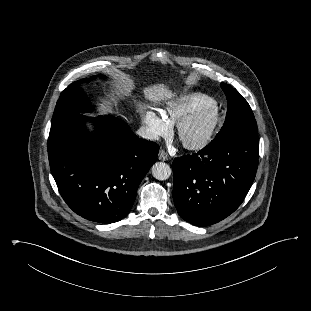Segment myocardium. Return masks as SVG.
<instances>
[{
	"label": "myocardium",
	"instance_id": "1",
	"mask_svg": "<svg viewBox=\"0 0 311 311\" xmlns=\"http://www.w3.org/2000/svg\"><path fill=\"white\" fill-rule=\"evenodd\" d=\"M202 117L208 118V125L203 137L197 141L188 142L183 140V134L185 130L192 125L194 122L199 120ZM220 122V109L216 102L212 101L207 103L186 117H184L178 124H177V136L182 142L183 146L188 150L198 151L202 150L206 146L210 144L212 141L216 129Z\"/></svg>",
	"mask_w": 311,
	"mask_h": 311
}]
</instances>
